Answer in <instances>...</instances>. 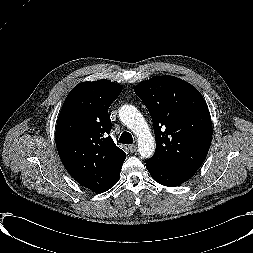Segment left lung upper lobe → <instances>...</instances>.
<instances>
[{"label": "left lung upper lobe", "mask_w": 253, "mask_h": 253, "mask_svg": "<svg viewBox=\"0 0 253 253\" xmlns=\"http://www.w3.org/2000/svg\"><path fill=\"white\" fill-rule=\"evenodd\" d=\"M154 126L156 150L147 164L197 171L212 140L208 106L198 90L172 76H156L134 88Z\"/></svg>", "instance_id": "obj_1"}]
</instances>
